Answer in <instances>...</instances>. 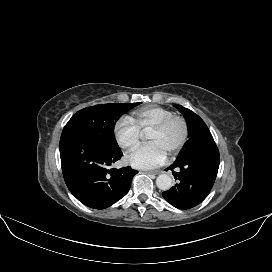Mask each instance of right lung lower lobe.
<instances>
[{
  "label": "right lung lower lobe",
  "mask_w": 272,
  "mask_h": 272,
  "mask_svg": "<svg viewBox=\"0 0 272 272\" xmlns=\"http://www.w3.org/2000/svg\"><path fill=\"white\" fill-rule=\"evenodd\" d=\"M59 148L68 189L91 208L105 209L120 200L138 173L131 167L111 168L123 155L120 148L108 147L85 134L61 135Z\"/></svg>",
  "instance_id": "98d812e1"
}]
</instances>
